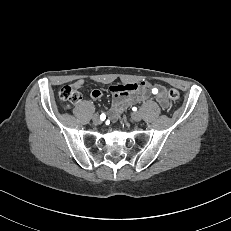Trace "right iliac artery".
Wrapping results in <instances>:
<instances>
[{"mask_svg":"<svg viewBox=\"0 0 231 231\" xmlns=\"http://www.w3.org/2000/svg\"><path fill=\"white\" fill-rule=\"evenodd\" d=\"M105 118H106V115H105L104 113H102V114L100 115V119H101V120H105Z\"/></svg>","mask_w":231,"mask_h":231,"instance_id":"obj_1","label":"right iliac artery"}]
</instances>
